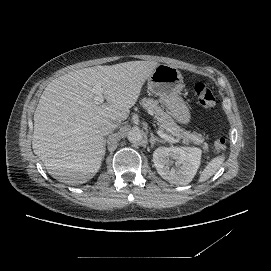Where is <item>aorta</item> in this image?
Returning <instances> with one entry per match:
<instances>
[{
	"label": "aorta",
	"instance_id": "762f6f07",
	"mask_svg": "<svg viewBox=\"0 0 271 271\" xmlns=\"http://www.w3.org/2000/svg\"><path fill=\"white\" fill-rule=\"evenodd\" d=\"M127 138L130 143L137 144L143 140V134L139 129L133 128L127 134Z\"/></svg>",
	"mask_w": 271,
	"mask_h": 271
}]
</instances>
